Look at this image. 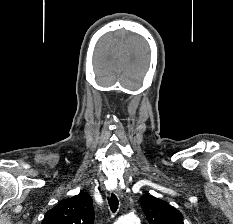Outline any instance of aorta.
I'll use <instances>...</instances> for the list:
<instances>
[{
    "label": "aorta",
    "instance_id": "1",
    "mask_svg": "<svg viewBox=\"0 0 233 224\" xmlns=\"http://www.w3.org/2000/svg\"><path fill=\"white\" fill-rule=\"evenodd\" d=\"M115 224H140V220L136 215L128 214L120 217Z\"/></svg>",
    "mask_w": 233,
    "mask_h": 224
}]
</instances>
